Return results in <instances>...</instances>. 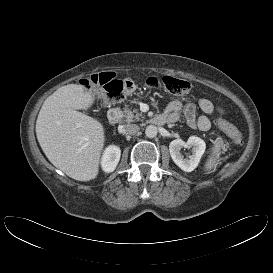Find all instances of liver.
<instances>
[{"label": "liver", "mask_w": 273, "mask_h": 273, "mask_svg": "<svg viewBox=\"0 0 273 273\" xmlns=\"http://www.w3.org/2000/svg\"><path fill=\"white\" fill-rule=\"evenodd\" d=\"M94 101L83 85H65L44 101L36 121L37 139L48 160L78 181L97 177L105 145L102 123L77 111L89 109Z\"/></svg>", "instance_id": "obj_1"}]
</instances>
